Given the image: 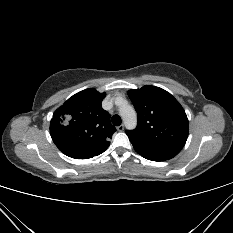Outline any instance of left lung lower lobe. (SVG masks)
<instances>
[{"mask_svg":"<svg viewBox=\"0 0 233 233\" xmlns=\"http://www.w3.org/2000/svg\"><path fill=\"white\" fill-rule=\"evenodd\" d=\"M139 153V152H138ZM142 157L148 159V160H152V161H165V159L156 157V156H152V155H148V154H143V153H139Z\"/></svg>","mask_w":233,"mask_h":233,"instance_id":"obj_1","label":"left lung lower lobe"}]
</instances>
